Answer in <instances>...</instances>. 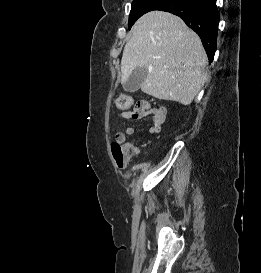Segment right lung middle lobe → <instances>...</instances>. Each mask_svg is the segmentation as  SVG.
Returning a JSON list of instances; mask_svg holds the SVG:
<instances>
[{"label":"right lung middle lobe","instance_id":"dd1d6c3e","mask_svg":"<svg viewBox=\"0 0 261 273\" xmlns=\"http://www.w3.org/2000/svg\"><path fill=\"white\" fill-rule=\"evenodd\" d=\"M165 0H134L131 6L128 28L130 29L136 20L143 14L152 10H161Z\"/></svg>","mask_w":261,"mask_h":273}]
</instances>
